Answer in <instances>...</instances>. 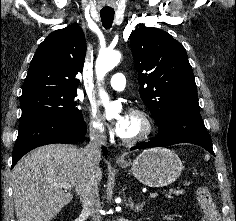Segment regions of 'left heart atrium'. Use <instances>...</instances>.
Here are the masks:
<instances>
[{"mask_svg": "<svg viewBox=\"0 0 236 221\" xmlns=\"http://www.w3.org/2000/svg\"><path fill=\"white\" fill-rule=\"evenodd\" d=\"M129 116L130 114L124 112L115 119L113 126H114L115 132L119 136L123 137V135L125 134L128 123H129Z\"/></svg>", "mask_w": 236, "mask_h": 221, "instance_id": "39dd6f15", "label": "left heart atrium"}]
</instances>
